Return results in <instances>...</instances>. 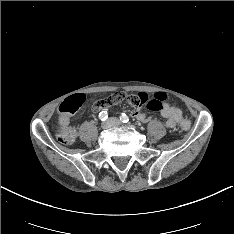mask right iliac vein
I'll return each mask as SVG.
<instances>
[{"instance_id":"obj_1","label":"right iliac vein","mask_w":234,"mask_h":234,"mask_svg":"<svg viewBox=\"0 0 234 234\" xmlns=\"http://www.w3.org/2000/svg\"><path fill=\"white\" fill-rule=\"evenodd\" d=\"M111 126H112V124H111L110 120H107V121H105V122L102 123V128L103 129H108Z\"/></svg>"}]
</instances>
